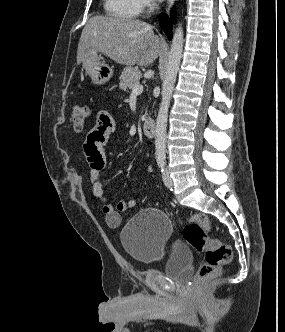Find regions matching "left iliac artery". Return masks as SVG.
Segmentation results:
<instances>
[{
	"mask_svg": "<svg viewBox=\"0 0 285 332\" xmlns=\"http://www.w3.org/2000/svg\"><path fill=\"white\" fill-rule=\"evenodd\" d=\"M158 165H159V170H160L161 172H164V166H165L164 161H160V162L158 163Z\"/></svg>",
	"mask_w": 285,
	"mask_h": 332,
	"instance_id": "44dca946",
	"label": "left iliac artery"
}]
</instances>
